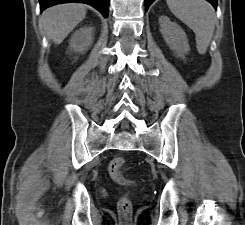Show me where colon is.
Masks as SVG:
<instances>
[{"label":"colon","instance_id":"colon-1","mask_svg":"<svg viewBox=\"0 0 245 225\" xmlns=\"http://www.w3.org/2000/svg\"><path fill=\"white\" fill-rule=\"evenodd\" d=\"M126 165L127 162L125 158L115 157L108 164V173L112 180L118 184L134 188L135 182L125 176ZM118 209L125 219H129L132 213V201L128 193L123 194L119 199Z\"/></svg>","mask_w":245,"mask_h":225}]
</instances>
